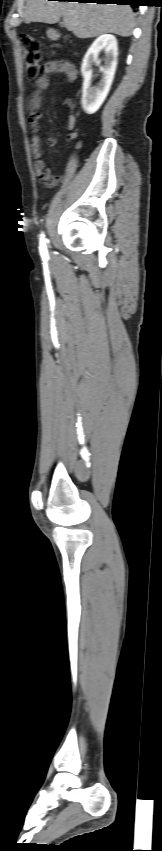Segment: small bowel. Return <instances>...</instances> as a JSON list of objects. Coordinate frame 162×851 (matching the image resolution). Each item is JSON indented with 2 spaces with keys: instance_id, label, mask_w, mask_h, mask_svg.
Returning <instances> with one entry per match:
<instances>
[{
  "instance_id": "1",
  "label": "small bowel",
  "mask_w": 162,
  "mask_h": 851,
  "mask_svg": "<svg viewBox=\"0 0 162 851\" xmlns=\"http://www.w3.org/2000/svg\"><path fill=\"white\" fill-rule=\"evenodd\" d=\"M45 75L39 77L36 81V90L31 95L29 102L30 117L29 122L31 128L35 131L38 128L39 109L41 106V93L49 85L48 75L64 73L69 80L73 81L78 76V71L75 66L68 61H50L43 67ZM51 147L57 144L56 138H51L49 141ZM31 154L34 159L35 174L40 177L48 186L55 184V177L51 171L46 168V163L43 160V145L39 135L33 134L30 140Z\"/></svg>"
}]
</instances>
